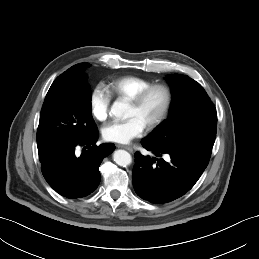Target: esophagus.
Listing matches in <instances>:
<instances>
[{
    "mask_svg": "<svg viewBox=\"0 0 259 259\" xmlns=\"http://www.w3.org/2000/svg\"><path fill=\"white\" fill-rule=\"evenodd\" d=\"M118 148H123V149H126L127 151H129V152H133V148L132 147H130V146H126V145H121V144H117L116 145Z\"/></svg>",
    "mask_w": 259,
    "mask_h": 259,
    "instance_id": "obj_1",
    "label": "esophagus"
}]
</instances>
